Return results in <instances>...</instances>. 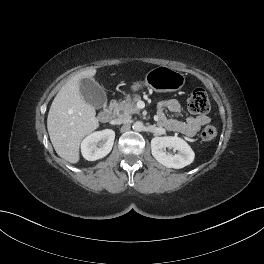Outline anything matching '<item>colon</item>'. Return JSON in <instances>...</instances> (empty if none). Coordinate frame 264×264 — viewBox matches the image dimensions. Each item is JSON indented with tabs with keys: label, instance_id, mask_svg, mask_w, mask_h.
<instances>
[{
	"label": "colon",
	"instance_id": "colon-1",
	"mask_svg": "<svg viewBox=\"0 0 264 264\" xmlns=\"http://www.w3.org/2000/svg\"><path fill=\"white\" fill-rule=\"evenodd\" d=\"M188 109L190 112L199 115H205L210 109V102L207 93L201 88L195 89L188 100ZM217 136V129L213 125L205 126L200 137L205 142L213 141Z\"/></svg>",
	"mask_w": 264,
	"mask_h": 264
}]
</instances>
